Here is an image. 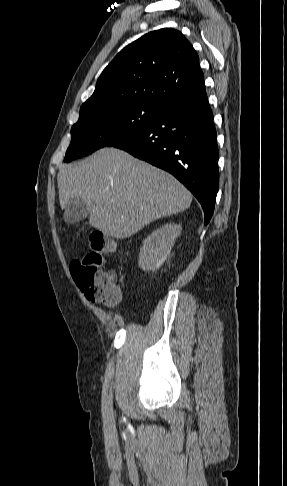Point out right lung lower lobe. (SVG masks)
Here are the masks:
<instances>
[{"instance_id": "obj_1", "label": "right lung lower lobe", "mask_w": 287, "mask_h": 486, "mask_svg": "<svg viewBox=\"0 0 287 486\" xmlns=\"http://www.w3.org/2000/svg\"><path fill=\"white\" fill-rule=\"evenodd\" d=\"M216 136L204 89L165 107L144 131L114 147L174 175L198 199L207 224L219 187Z\"/></svg>"}]
</instances>
